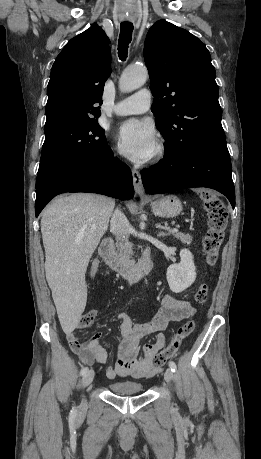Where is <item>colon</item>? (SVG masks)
<instances>
[{"instance_id": "colon-1", "label": "colon", "mask_w": 261, "mask_h": 459, "mask_svg": "<svg viewBox=\"0 0 261 459\" xmlns=\"http://www.w3.org/2000/svg\"><path fill=\"white\" fill-rule=\"evenodd\" d=\"M200 198L208 215V231L203 242L204 253L206 263L213 266L217 261L219 249L228 225V211L224 203L212 191L201 192ZM207 296L208 285L201 284L195 293L196 302L203 304L207 300ZM95 317V310L85 312L80 317L79 328L89 327L94 322ZM194 326L193 321H187L178 329L170 343L154 356L153 366L155 368H161L170 358L176 355L183 340L194 330Z\"/></svg>"}]
</instances>
